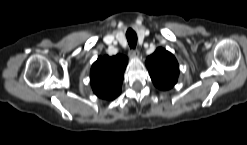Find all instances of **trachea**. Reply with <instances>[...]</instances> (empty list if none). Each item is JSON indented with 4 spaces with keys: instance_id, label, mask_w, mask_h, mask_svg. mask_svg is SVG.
Here are the masks:
<instances>
[{
    "instance_id": "obj_1",
    "label": "trachea",
    "mask_w": 247,
    "mask_h": 145,
    "mask_svg": "<svg viewBox=\"0 0 247 145\" xmlns=\"http://www.w3.org/2000/svg\"><path fill=\"white\" fill-rule=\"evenodd\" d=\"M126 37L128 44L131 49H135L136 44H137V35L132 29H128L126 32Z\"/></svg>"
}]
</instances>
